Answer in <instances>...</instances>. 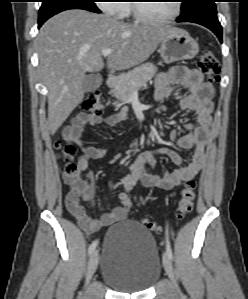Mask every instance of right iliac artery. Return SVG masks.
<instances>
[{"mask_svg":"<svg viewBox=\"0 0 248 299\" xmlns=\"http://www.w3.org/2000/svg\"><path fill=\"white\" fill-rule=\"evenodd\" d=\"M97 244H98V241L96 240V241L92 242V244L89 246V248H88L89 255L92 254V252L95 250Z\"/></svg>","mask_w":248,"mask_h":299,"instance_id":"right-iliac-artery-1","label":"right iliac artery"}]
</instances>
